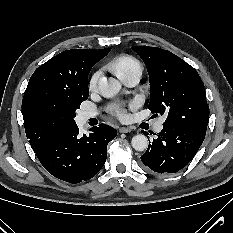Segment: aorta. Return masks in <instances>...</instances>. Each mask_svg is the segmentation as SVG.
<instances>
[{"label": "aorta", "instance_id": "aorta-1", "mask_svg": "<svg viewBox=\"0 0 233 233\" xmlns=\"http://www.w3.org/2000/svg\"><path fill=\"white\" fill-rule=\"evenodd\" d=\"M120 89V82L114 78L107 79L106 77H103L99 81L100 93L106 98L113 97L120 91ZM131 144L136 151H144L148 147V139L145 135L138 134L133 136Z\"/></svg>", "mask_w": 233, "mask_h": 233}]
</instances>
